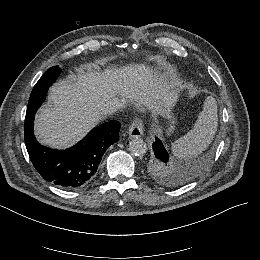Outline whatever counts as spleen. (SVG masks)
Returning <instances> with one entry per match:
<instances>
[{
    "instance_id": "spleen-1",
    "label": "spleen",
    "mask_w": 260,
    "mask_h": 260,
    "mask_svg": "<svg viewBox=\"0 0 260 260\" xmlns=\"http://www.w3.org/2000/svg\"><path fill=\"white\" fill-rule=\"evenodd\" d=\"M217 127V103L213 96H208L194 128L172 143V154L183 160L197 157L212 143Z\"/></svg>"
}]
</instances>
